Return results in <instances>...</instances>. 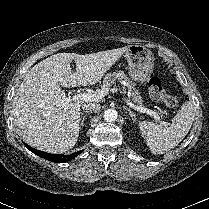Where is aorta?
I'll return each instance as SVG.
<instances>
[{"instance_id": "1", "label": "aorta", "mask_w": 209, "mask_h": 209, "mask_svg": "<svg viewBox=\"0 0 209 209\" xmlns=\"http://www.w3.org/2000/svg\"><path fill=\"white\" fill-rule=\"evenodd\" d=\"M118 113L114 109H107L104 113V119L107 122H113L117 119Z\"/></svg>"}]
</instances>
